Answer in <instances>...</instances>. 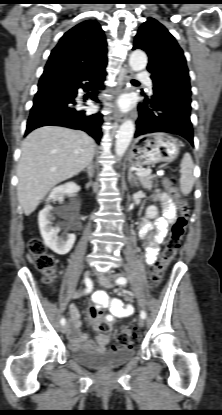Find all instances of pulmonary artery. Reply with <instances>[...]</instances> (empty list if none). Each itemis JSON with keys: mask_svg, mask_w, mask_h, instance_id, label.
I'll list each match as a JSON object with an SVG mask.
<instances>
[{"mask_svg": "<svg viewBox=\"0 0 222 415\" xmlns=\"http://www.w3.org/2000/svg\"><path fill=\"white\" fill-rule=\"evenodd\" d=\"M137 78L140 81L144 82L149 87V89L152 88V81H151V79L149 77V74L146 71H140V72H138L137 73Z\"/></svg>", "mask_w": 222, "mask_h": 415, "instance_id": "1", "label": "pulmonary artery"}]
</instances>
